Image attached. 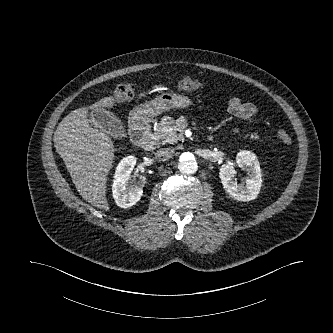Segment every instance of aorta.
Returning <instances> with one entry per match:
<instances>
[{"instance_id":"aorta-1","label":"aorta","mask_w":333,"mask_h":333,"mask_svg":"<svg viewBox=\"0 0 333 333\" xmlns=\"http://www.w3.org/2000/svg\"><path fill=\"white\" fill-rule=\"evenodd\" d=\"M178 169L183 174H194L198 169L195 156L191 152L180 153Z\"/></svg>"}]
</instances>
